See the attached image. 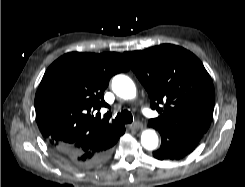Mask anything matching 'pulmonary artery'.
Returning <instances> with one entry per match:
<instances>
[{"instance_id":"pulmonary-artery-1","label":"pulmonary artery","mask_w":245,"mask_h":187,"mask_svg":"<svg viewBox=\"0 0 245 187\" xmlns=\"http://www.w3.org/2000/svg\"><path fill=\"white\" fill-rule=\"evenodd\" d=\"M143 113H144L145 115H147V116H153V115H154V113H153L152 111L148 110V109H144V110H143Z\"/></svg>"}]
</instances>
